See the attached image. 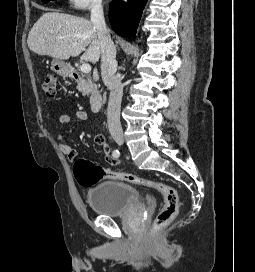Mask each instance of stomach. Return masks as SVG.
<instances>
[{"label":"stomach","mask_w":255,"mask_h":272,"mask_svg":"<svg viewBox=\"0 0 255 272\" xmlns=\"http://www.w3.org/2000/svg\"><path fill=\"white\" fill-rule=\"evenodd\" d=\"M51 70L58 75L63 77H71L72 75V68L71 66L60 59H53L51 63Z\"/></svg>","instance_id":"1"}]
</instances>
